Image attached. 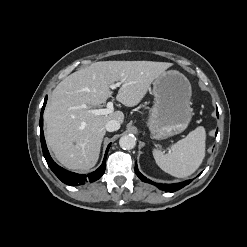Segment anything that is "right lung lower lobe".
<instances>
[{
  "mask_svg": "<svg viewBox=\"0 0 247 247\" xmlns=\"http://www.w3.org/2000/svg\"><path fill=\"white\" fill-rule=\"evenodd\" d=\"M47 102V96L45 97L44 100V105L41 110V115H40V139H41V146H42V151L43 155L45 157V160L50 167V169L54 172V174L65 184L67 185H78V184H85L86 182H94L98 180L104 173L105 171V162H106V156L107 152L109 150L110 144L107 147L104 160L102 165L94 172L88 174V175H82V174H77L73 172H69L62 167L58 166L51 158L49 151L46 146L45 138H44V133H43V111L45 108Z\"/></svg>",
  "mask_w": 247,
  "mask_h": 247,
  "instance_id": "obj_1",
  "label": "right lung lower lobe"
}]
</instances>
